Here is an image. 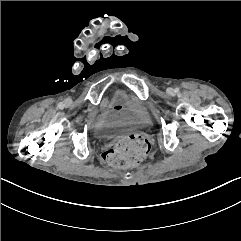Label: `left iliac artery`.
I'll use <instances>...</instances> for the list:
<instances>
[{
    "label": "left iliac artery",
    "instance_id": "1",
    "mask_svg": "<svg viewBox=\"0 0 241 241\" xmlns=\"http://www.w3.org/2000/svg\"><path fill=\"white\" fill-rule=\"evenodd\" d=\"M175 90H176V92H177L179 89H178V88H176Z\"/></svg>",
    "mask_w": 241,
    "mask_h": 241
}]
</instances>
